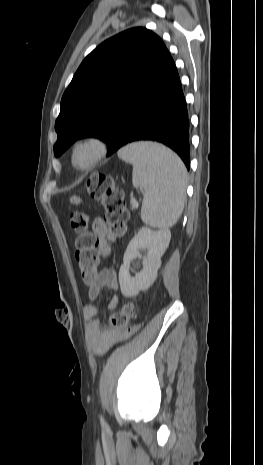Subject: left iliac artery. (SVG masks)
Returning <instances> with one entry per match:
<instances>
[{"instance_id": "1", "label": "left iliac artery", "mask_w": 263, "mask_h": 465, "mask_svg": "<svg viewBox=\"0 0 263 465\" xmlns=\"http://www.w3.org/2000/svg\"><path fill=\"white\" fill-rule=\"evenodd\" d=\"M101 423H102V424H104V423H105V422H104V419H103L102 417H101Z\"/></svg>"}]
</instances>
